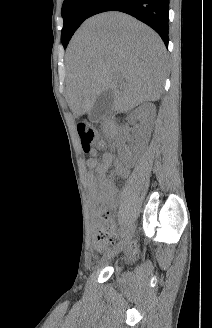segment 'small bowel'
Returning a JSON list of instances; mask_svg holds the SVG:
<instances>
[{"label":"small bowel","instance_id":"c3829d8e","mask_svg":"<svg viewBox=\"0 0 212 328\" xmlns=\"http://www.w3.org/2000/svg\"><path fill=\"white\" fill-rule=\"evenodd\" d=\"M97 148L99 150H105L107 143L100 141ZM87 165L94 169V173L89 175L90 196L92 203L99 206L95 222V226L99 228L101 225L98 216L101 217L104 213L115 210L120 202V195L113 182L114 177L116 175L126 177L128 175V169L116 161L110 153H105L101 161H97L94 157L88 159ZM112 166H114L115 171L110 176H107L106 173ZM94 244L96 245L95 242ZM131 249L135 251L134 247Z\"/></svg>","mask_w":212,"mask_h":328}]
</instances>
